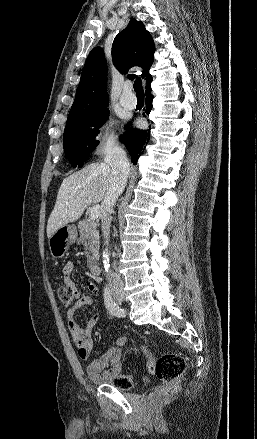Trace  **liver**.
I'll list each match as a JSON object with an SVG mask.
<instances>
[{"label": "liver", "mask_w": 257, "mask_h": 439, "mask_svg": "<svg viewBox=\"0 0 257 439\" xmlns=\"http://www.w3.org/2000/svg\"><path fill=\"white\" fill-rule=\"evenodd\" d=\"M112 169L105 162L91 163L65 178L47 223L50 238L59 228L78 220L92 203L102 201L110 187Z\"/></svg>", "instance_id": "1"}]
</instances>
